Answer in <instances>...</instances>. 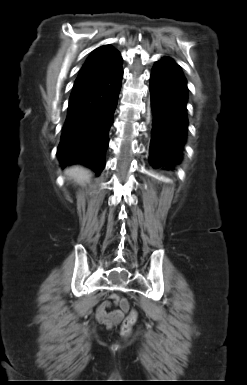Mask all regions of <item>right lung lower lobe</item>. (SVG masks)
I'll return each mask as SVG.
<instances>
[{"label":"right lung lower lobe","mask_w":247,"mask_h":385,"mask_svg":"<svg viewBox=\"0 0 247 385\" xmlns=\"http://www.w3.org/2000/svg\"><path fill=\"white\" fill-rule=\"evenodd\" d=\"M123 76L122 62L75 81L57 156L61 165L84 164L100 173Z\"/></svg>","instance_id":"98d812e1"}]
</instances>
